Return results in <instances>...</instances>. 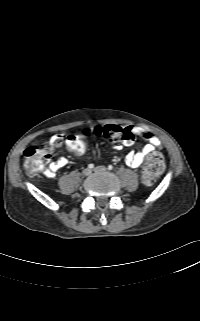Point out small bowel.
<instances>
[{
	"mask_svg": "<svg viewBox=\"0 0 200 321\" xmlns=\"http://www.w3.org/2000/svg\"><path fill=\"white\" fill-rule=\"evenodd\" d=\"M136 135L147 141V144L138 151H130L125 161L131 168H138L144 161V159L152 154L157 148L161 146V141L158 137L154 136L150 131L141 128H133ZM64 139V135L55 134L52 135L48 141L51 147L60 146ZM68 164V160L65 157H59L58 159L49 162L48 166L43 170V173L48 178L55 177L56 173Z\"/></svg>",
	"mask_w": 200,
	"mask_h": 321,
	"instance_id": "obj_1",
	"label": "small bowel"
}]
</instances>
